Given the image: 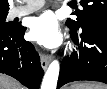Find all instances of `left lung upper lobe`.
<instances>
[{
	"label": "left lung upper lobe",
	"mask_w": 107,
	"mask_h": 89,
	"mask_svg": "<svg viewBox=\"0 0 107 89\" xmlns=\"http://www.w3.org/2000/svg\"><path fill=\"white\" fill-rule=\"evenodd\" d=\"M83 10L76 11V20L68 19L66 24L80 29L92 21H107V0H81Z\"/></svg>",
	"instance_id": "obj_1"
}]
</instances>
